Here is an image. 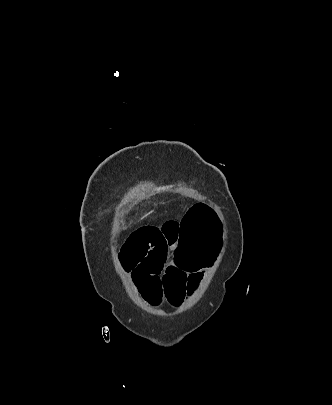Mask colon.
Masks as SVG:
<instances>
[{"instance_id":"colon-1","label":"colon","mask_w":332,"mask_h":405,"mask_svg":"<svg viewBox=\"0 0 332 405\" xmlns=\"http://www.w3.org/2000/svg\"><path fill=\"white\" fill-rule=\"evenodd\" d=\"M207 208V202H194L190 211L186 212L187 220L177 222L175 260L181 262L185 275H201V268L217 266L218 249H221V228L219 221L215 220L216 212L207 211Z\"/></svg>"}]
</instances>
